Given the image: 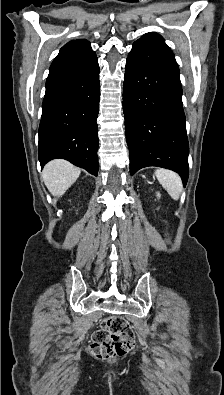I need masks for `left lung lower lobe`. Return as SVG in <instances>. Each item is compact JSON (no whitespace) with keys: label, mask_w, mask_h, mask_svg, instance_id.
Instances as JSON below:
<instances>
[{"label":"left lung lower lobe","mask_w":224,"mask_h":395,"mask_svg":"<svg viewBox=\"0 0 224 395\" xmlns=\"http://www.w3.org/2000/svg\"><path fill=\"white\" fill-rule=\"evenodd\" d=\"M179 68L172 51L136 41L126 60L123 110L130 173L171 169L187 183L189 145Z\"/></svg>","instance_id":"1"}]
</instances>
